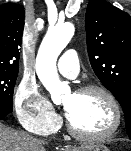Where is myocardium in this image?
I'll return each instance as SVG.
<instances>
[{
    "label": "myocardium",
    "instance_id": "f54148a6",
    "mask_svg": "<svg viewBox=\"0 0 131 151\" xmlns=\"http://www.w3.org/2000/svg\"><path fill=\"white\" fill-rule=\"evenodd\" d=\"M76 93L77 94L99 93V94L103 95L108 100V102L110 103V105L113 109L114 122H113L111 128L104 133L89 134V133L81 132L78 129H76L75 126L70 121V119L67 117L66 118V127H67L68 132L72 136H74L78 139H81V140H85V141L98 142V141H105V140L113 137L116 134V132L118 131V129L120 128V125L122 122L121 106H120L117 98L115 97V95L107 88L100 86V85H95V84L82 86L79 89H77Z\"/></svg>",
    "mask_w": 131,
    "mask_h": 151
}]
</instances>
